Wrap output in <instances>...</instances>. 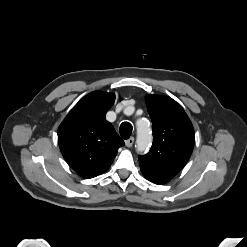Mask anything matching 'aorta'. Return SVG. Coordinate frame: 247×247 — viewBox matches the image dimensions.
I'll return each instance as SVG.
<instances>
[{"label":"aorta","instance_id":"1","mask_svg":"<svg viewBox=\"0 0 247 247\" xmlns=\"http://www.w3.org/2000/svg\"><path fill=\"white\" fill-rule=\"evenodd\" d=\"M137 126V149L144 151L147 149L152 140L151 129L149 123L145 119H139L136 122Z\"/></svg>","mask_w":247,"mask_h":247}]
</instances>
